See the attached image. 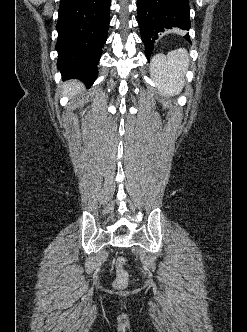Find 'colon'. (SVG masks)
I'll return each instance as SVG.
<instances>
[{
	"label": "colon",
	"instance_id": "obj_1",
	"mask_svg": "<svg viewBox=\"0 0 247 332\" xmlns=\"http://www.w3.org/2000/svg\"><path fill=\"white\" fill-rule=\"evenodd\" d=\"M129 281V274L126 269V260L119 257L115 263V280L113 287L117 290H123L127 287Z\"/></svg>",
	"mask_w": 247,
	"mask_h": 332
}]
</instances>
